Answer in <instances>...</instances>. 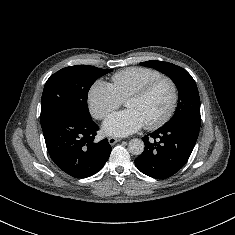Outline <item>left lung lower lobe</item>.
I'll use <instances>...</instances> for the list:
<instances>
[{
    "mask_svg": "<svg viewBox=\"0 0 235 235\" xmlns=\"http://www.w3.org/2000/svg\"><path fill=\"white\" fill-rule=\"evenodd\" d=\"M200 130V122L185 120L162 126L144 136L145 149L135 159L144 174L165 179L180 170L189 159Z\"/></svg>",
    "mask_w": 235,
    "mask_h": 235,
    "instance_id": "obj_1",
    "label": "left lung lower lobe"
}]
</instances>
